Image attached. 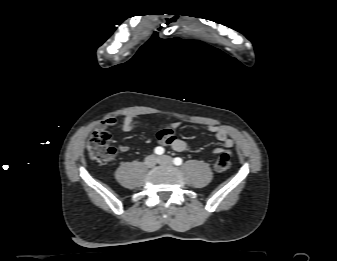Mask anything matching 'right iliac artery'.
<instances>
[{
	"label": "right iliac artery",
	"mask_w": 337,
	"mask_h": 261,
	"mask_svg": "<svg viewBox=\"0 0 337 261\" xmlns=\"http://www.w3.org/2000/svg\"><path fill=\"white\" fill-rule=\"evenodd\" d=\"M155 154L162 155L164 153V148L161 146H158L154 149Z\"/></svg>",
	"instance_id": "1"
}]
</instances>
